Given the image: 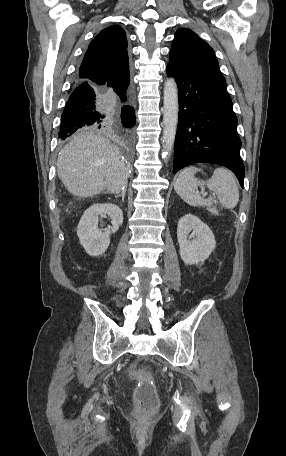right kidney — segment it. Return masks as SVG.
<instances>
[{
    "instance_id": "obj_1",
    "label": "right kidney",
    "mask_w": 286,
    "mask_h": 456,
    "mask_svg": "<svg viewBox=\"0 0 286 456\" xmlns=\"http://www.w3.org/2000/svg\"><path fill=\"white\" fill-rule=\"evenodd\" d=\"M111 218V230L102 232L98 228L99 216ZM123 223V212L112 203H96L89 207L80 219L77 235L85 251L91 256L102 255L109 247L110 235L118 231Z\"/></svg>"
}]
</instances>
